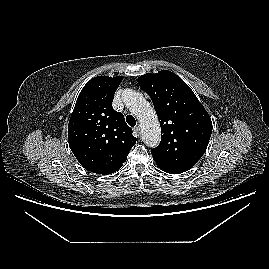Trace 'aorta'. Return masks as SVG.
<instances>
[{
    "mask_svg": "<svg viewBox=\"0 0 269 269\" xmlns=\"http://www.w3.org/2000/svg\"><path fill=\"white\" fill-rule=\"evenodd\" d=\"M122 96L130 112L133 113L140 122L144 143L147 146L156 147L161 139V129L154 109L142 94L136 91L125 90Z\"/></svg>",
    "mask_w": 269,
    "mask_h": 269,
    "instance_id": "762f6f07",
    "label": "aorta"
}]
</instances>
